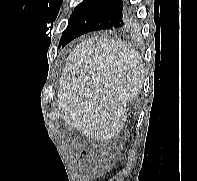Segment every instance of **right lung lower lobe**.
<instances>
[{"instance_id": "1", "label": "right lung lower lobe", "mask_w": 197, "mask_h": 181, "mask_svg": "<svg viewBox=\"0 0 197 181\" xmlns=\"http://www.w3.org/2000/svg\"><path fill=\"white\" fill-rule=\"evenodd\" d=\"M133 22L128 0H97L76 19L61 44L64 47L73 39L91 31L128 28Z\"/></svg>"}]
</instances>
